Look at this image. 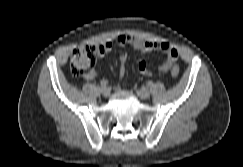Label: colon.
I'll list each match as a JSON object with an SVG mask.
<instances>
[{
  "label": "colon",
  "instance_id": "1",
  "mask_svg": "<svg viewBox=\"0 0 243 167\" xmlns=\"http://www.w3.org/2000/svg\"><path fill=\"white\" fill-rule=\"evenodd\" d=\"M96 63L95 47L79 46L77 47L70 59V66L72 73L77 77H87L94 69ZM180 69L177 65L171 68V75L177 77Z\"/></svg>",
  "mask_w": 243,
  "mask_h": 167
}]
</instances>
